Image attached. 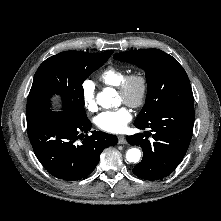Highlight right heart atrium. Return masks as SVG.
I'll return each instance as SVG.
<instances>
[{
    "instance_id": "right-heart-atrium-1",
    "label": "right heart atrium",
    "mask_w": 221,
    "mask_h": 221,
    "mask_svg": "<svg viewBox=\"0 0 221 221\" xmlns=\"http://www.w3.org/2000/svg\"><path fill=\"white\" fill-rule=\"evenodd\" d=\"M83 105L88 111H95L97 108L95 84L91 80H85L81 85Z\"/></svg>"
}]
</instances>
